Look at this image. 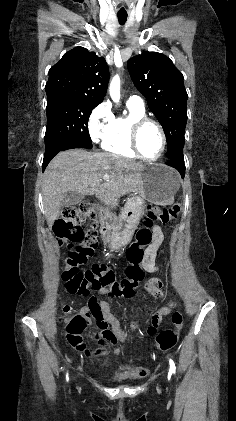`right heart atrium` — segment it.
<instances>
[{
	"label": "right heart atrium",
	"instance_id": "obj_1",
	"mask_svg": "<svg viewBox=\"0 0 236 421\" xmlns=\"http://www.w3.org/2000/svg\"><path fill=\"white\" fill-rule=\"evenodd\" d=\"M113 120V114L107 103L103 102L93 109L88 119V131L93 143L102 140Z\"/></svg>",
	"mask_w": 236,
	"mask_h": 421
}]
</instances>
